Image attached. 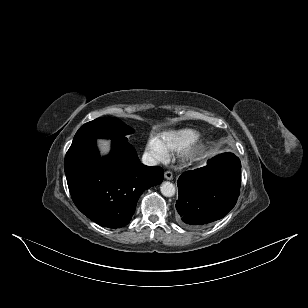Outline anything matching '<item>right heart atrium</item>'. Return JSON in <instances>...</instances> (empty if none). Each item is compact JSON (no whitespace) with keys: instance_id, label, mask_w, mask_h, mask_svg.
Segmentation results:
<instances>
[{"instance_id":"right-heart-atrium-1","label":"right heart atrium","mask_w":308,"mask_h":308,"mask_svg":"<svg viewBox=\"0 0 308 308\" xmlns=\"http://www.w3.org/2000/svg\"><path fill=\"white\" fill-rule=\"evenodd\" d=\"M147 150L157 160L163 161L167 158V152L159 144L157 139H150L148 141Z\"/></svg>"}]
</instances>
